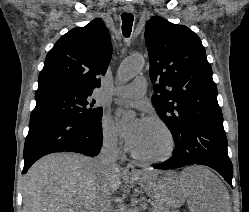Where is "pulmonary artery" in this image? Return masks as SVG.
<instances>
[{"label":"pulmonary artery","instance_id":"pulmonary-artery-1","mask_svg":"<svg viewBox=\"0 0 249 212\" xmlns=\"http://www.w3.org/2000/svg\"><path fill=\"white\" fill-rule=\"evenodd\" d=\"M147 90V79L143 76L137 77L129 84L116 86L113 94L121 98L136 99L145 95Z\"/></svg>","mask_w":249,"mask_h":212}]
</instances>
